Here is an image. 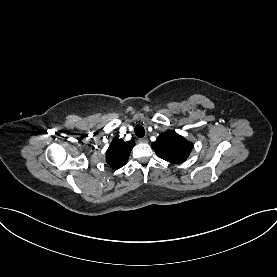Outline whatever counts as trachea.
Here are the masks:
<instances>
[{
	"instance_id": "1",
	"label": "trachea",
	"mask_w": 277,
	"mask_h": 277,
	"mask_svg": "<svg viewBox=\"0 0 277 277\" xmlns=\"http://www.w3.org/2000/svg\"><path fill=\"white\" fill-rule=\"evenodd\" d=\"M134 131L136 136L139 138H142L145 135V129L141 125H136Z\"/></svg>"
}]
</instances>
